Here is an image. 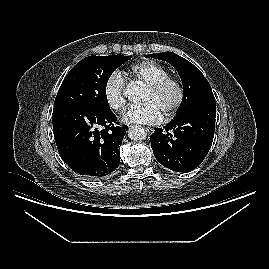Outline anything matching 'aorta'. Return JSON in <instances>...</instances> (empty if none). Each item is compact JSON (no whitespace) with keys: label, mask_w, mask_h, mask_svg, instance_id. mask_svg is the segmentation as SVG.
Wrapping results in <instances>:
<instances>
[{"label":"aorta","mask_w":269,"mask_h":269,"mask_svg":"<svg viewBox=\"0 0 269 269\" xmlns=\"http://www.w3.org/2000/svg\"><path fill=\"white\" fill-rule=\"evenodd\" d=\"M124 94L128 99L136 101L141 95V89L137 85H131L125 90ZM128 136L131 140L141 141L146 138V132L141 126H131L128 129Z\"/></svg>","instance_id":"762f6f07"}]
</instances>
